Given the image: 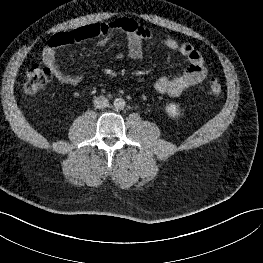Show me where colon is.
I'll return each mask as SVG.
<instances>
[{
	"mask_svg": "<svg viewBox=\"0 0 263 263\" xmlns=\"http://www.w3.org/2000/svg\"><path fill=\"white\" fill-rule=\"evenodd\" d=\"M52 80V72L48 67L33 64L26 72V80L24 84L25 91L29 94H36L43 90ZM222 84L212 78L208 83V93L213 96L222 93Z\"/></svg>",
	"mask_w": 263,
	"mask_h": 263,
	"instance_id": "1",
	"label": "colon"
}]
</instances>
